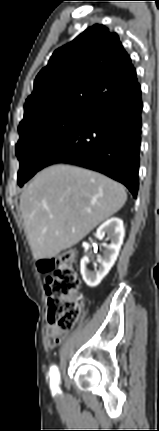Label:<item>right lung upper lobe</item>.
Instances as JSON below:
<instances>
[{
  "label": "right lung upper lobe",
  "instance_id": "cb5924a9",
  "mask_svg": "<svg viewBox=\"0 0 159 431\" xmlns=\"http://www.w3.org/2000/svg\"><path fill=\"white\" fill-rule=\"evenodd\" d=\"M137 85L118 35L96 24L57 49L38 73L19 128L59 112L90 114Z\"/></svg>",
  "mask_w": 159,
  "mask_h": 431
}]
</instances>
